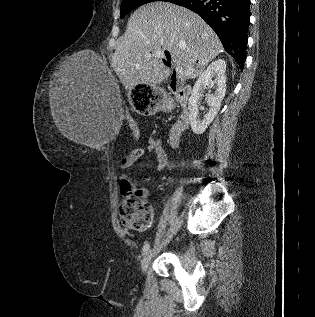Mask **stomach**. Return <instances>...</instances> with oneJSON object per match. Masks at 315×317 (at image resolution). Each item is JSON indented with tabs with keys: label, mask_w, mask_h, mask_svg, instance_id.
I'll list each match as a JSON object with an SVG mask.
<instances>
[{
	"label": "stomach",
	"mask_w": 315,
	"mask_h": 317,
	"mask_svg": "<svg viewBox=\"0 0 315 317\" xmlns=\"http://www.w3.org/2000/svg\"><path fill=\"white\" fill-rule=\"evenodd\" d=\"M158 94L155 84H132L130 98L134 108V114H157Z\"/></svg>",
	"instance_id": "stomach-1"
}]
</instances>
